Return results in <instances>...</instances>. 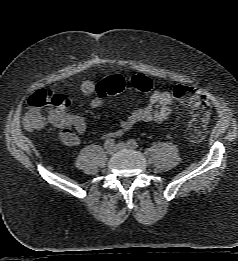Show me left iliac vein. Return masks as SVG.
<instances>
[{
	"label": "left iliac vein",
	"mask_w": 238,
	"mask_h": 261,
	"mask_svg": "<svg viewBox=\"0 0 238 261\" xmlns=\"http://www.w3.org/2000/svg\"><path fill=\"white\" fill-rule=\"evenodd\" d=\"M127 148H131L128 144L120 142L116 145V149L117 150H123V149H127Z\"/></svg>",
	"instance_id": "obj_1"
}]
</instances>
